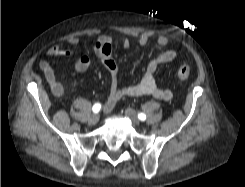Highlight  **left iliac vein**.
Masks as SVG:
<instances>
[{
    "instance_id": "1",
    "label": "left iliac vein",
    "mask_w": 245,
    "mask_h": 187,
    "mask_svg": "<svg viewBox=\"0 0 245 187\" xmlns=\"http://www.w3.org/2000/svg\"><path fill=\"white\" fill-rule=\"evenodd\" d=\"M125 115L130 118L134 124L136 125H139L140 124V121L139 119L137 118V114L135 112V110H133L132 108H127L125 110Z\"/></svg>"
}]
</instances>
